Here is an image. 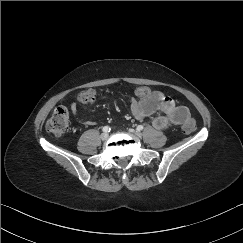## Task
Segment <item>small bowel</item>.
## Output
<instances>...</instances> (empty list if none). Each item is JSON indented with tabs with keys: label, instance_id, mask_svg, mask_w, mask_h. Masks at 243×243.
<instances>
[{
	"label": "small bowel",
	"instance_id": "obj_1",
	"mask_svg": "<svg viewBox=\"0 0 243 243\" xmlns=\"http://www.w3.org/2000/svg\"><path fill=\"white\" fill-rule=\"evenodd\" d=\"M138 99L132 98L130 101V110L133 117L137 120H143L150 117L156 111H162V115L156 116L153 120V126L162 130L169 126L181 125L190 118V111L186 106L177 105L168 95L161 92H152L146 87L137 90ZM71 112L74 117L77 116L78 107L72 103ZM79 123H85L82 119H77Z\"/></svg>",
	"mask_w": 243,
	"mask_h": 243
}]
</instances>
